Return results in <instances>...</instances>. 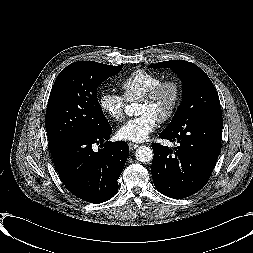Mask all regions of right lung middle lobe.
<instances>
[{
    "label": "right lung middle lobe",
    "mask_w": 253,
    "mask_h": 253,
    "mask_svg": "<svg viewBox=\"0 0 253 253\" xmlns=\"http://www.w3.org/2000/svg\"><path fill=\"white\" fill-rule=\"evenodd\" d=\"M122 67L79 61L60 72L46 111L50 151L77 133L97 132L109 125L97 99V87Z\"/></svg>",
    "instance_id": "dd1d6c3e"
}]
</instances>
